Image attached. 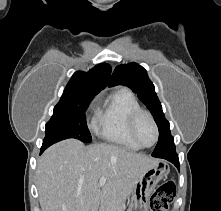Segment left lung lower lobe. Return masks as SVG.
Wrapping results in <instances>:
<instances>
[{
    "instance_id": "left-lung-lower-lobe-1",
    "label": "left lung lower lobe",
    "mask_w": 221,
    "mask_h": 211,
    "mask_svg": "<svg viewBox=\"0 0 221 211\" xmlns=\"http://www.w3.org/2000/svg\"><path fill=\"white\" fill-rule=\"evenodd\" d=\"M160 158L166 159L170 162H172L179 170V159H178V155L176 153L170 154V155H164L161 156Z\"/></svg>"
}]
</instances>
